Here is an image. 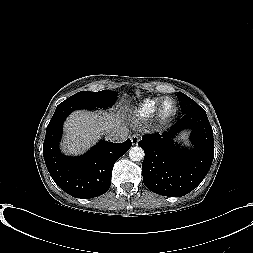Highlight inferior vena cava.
<instances>
[{
  "instance_id": "602c4592",
  "label": "inferior vena cava",
  "mask_w": 253,
  "mask_h": 253,
  "mask_svg": "<svg viewBox=\"0 0 253 253\" xmlns=\"http://www.w3.org/2000/svg\"><path fill=\"white\" fill-rule=\"evenodd\" d=\"M129 129L126 126L115 127L106 132V140L111 142H123L127 139Z\"/></svg>"
}]
</instances>
